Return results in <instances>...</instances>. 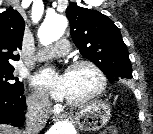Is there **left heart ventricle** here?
<instances>
[{
    "label": "left heart ventricle",
    "mask_w": 153,
    "mask_h": 134,
    "mask_svg": "<svg viewBox=\"0 0 153 134\" xmlns=\"http://www.w3.org/2000/svg\"><path fill=\"white\" fill-rule=\"evenodd\" d=\"M67 95L66 100H80L92 93L97 85L98 79L95 73L88 67H79L67 71Z\"/></svg>",
    "instance_id": "b2bd125f"
}]
</instances>
